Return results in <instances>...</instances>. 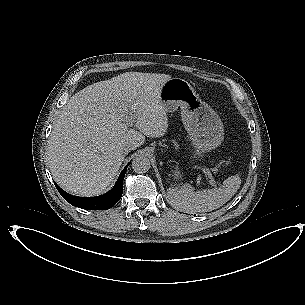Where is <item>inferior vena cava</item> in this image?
Here are the masks:
<instances>
[{"label": "inferior vena cava", "mask_w": 305, "mask_h": 305, "mask_svg": "<svg viewBox=\"0 0 305 305\" xmlns=\"http://www.w3.org/2000/svg\"><path fill=\"white\" fill-rule=\"evenodd\" d=\"M136 149L135 145L133 144H125L123 145V151L125 154H128L130 151Z\"/></svg>", "instance_id": "602c4592"}]
</instances>
